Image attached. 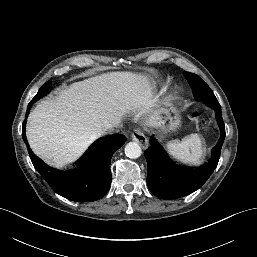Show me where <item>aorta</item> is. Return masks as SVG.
Masks as SVG:
<instances>
[{"label":"aorta","mask_w":257,"mask_h":257,"mask_svg":"<svg viewBox=\"0 0 257 257\" xmlns=\"http://www.w3.org/2000/svg\"><path fill=\"white\" fill-rule=\"evenodd\" d=\"M142 154V149L140 145L136 142H129L125 146V155L128 158L136 159L139 158Z\"/></svg>","instance_id":"obj_1"}]
</instances>
